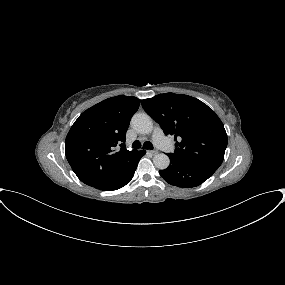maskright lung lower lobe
Returning a JSON list of instances; mask_svg holds the SVG:
<instances>
[{
	"mask_svg": "<svg viewBox=\"0 0 285 285\" xmlns=\"http://www.w3.org/2000/svg\"><path fill=\"white\" fill-rule=\"evenodd\" d=\"M144 154H145V151H139L136 162L133 164L132 168L129 170V172L126 175H124L123 177L115 181L97 186L95 188L99 190H103V191H112V190H117L125 186L133 178L138 162Z\"/></svg>",
	"mask_w": 285,
	"mask_h": 285,
	"instance_id": "right-lung-lower-lobe-1",
	"label": "right lung lower lobe"
}]
</instances>
